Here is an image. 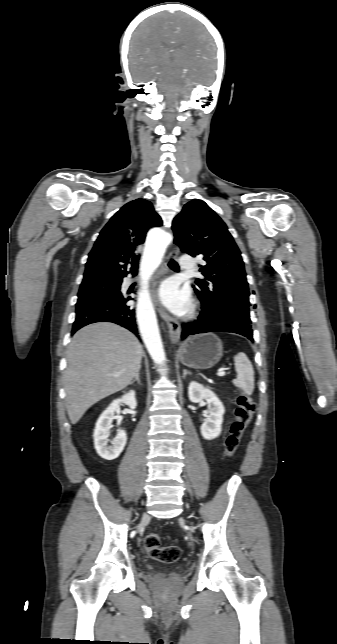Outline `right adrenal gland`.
<instances>
[{
  "label": "right adrenal gland",
  "mask_w": 337,
  "mask_h": 644,
  "mask_svg": "<svg viewBox=\"0 0 337 644\" xmlns=\"http://www.w3.org/2000/svg\"><path fill=\"white\" fill-rule=\"evenodd\" d=\"M135 381H137V382L140 384V372H137L136 376H135V377H134V379L130 382V384L134 383Z\"/></svg>",
  "instance_id": "right-adrenal-gland-1"
}]
</instances>
